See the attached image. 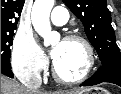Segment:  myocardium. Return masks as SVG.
<instances>
[{"label":"myocardium","mask_w":121,"mask_h":94,"mask_svg":"<svg viewBox=\"0 0 121 94\" xmlns=\"http://www.w3.org/2000/svg\"><path fill=\"white\" fill-rule=\"evenodd\" d=\"M64 41H75V42L81 43L84 46L85 51H86V56H87L85 69L82 72V74H80L79 76L72 77V78H64L58 72L56 64L53 61L52 75L57 82L64 84V85H73V84L81 83L85 81L93 71V68L95 65V55H94L93 47L85 37L78 35V34H69L65 36Z\"/></svg>","instance_id":"1"}]
</instances>
